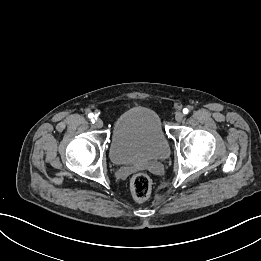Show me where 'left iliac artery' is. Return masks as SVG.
I'll return each mask as SVG.
<instances>
[{
    "label": "left iliac artery",
    "mask_w": 261,
    "mask_h": 261,
    "mask_svg": "<svg viewBox=\"0 0 261 261\" xmlns=\"http://www.w3.org/2000/svg\"><path fill=\"white\" fill-rule=\"evenodd\" d=\"M188 112H189V110H188L187 108H184V109H183V113H184V114H188Z\"/></svg>",
    "instance_id": "44dca946"
}]
</instances>
